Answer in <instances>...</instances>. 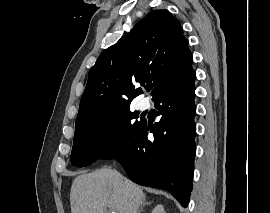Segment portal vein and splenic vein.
Segmentation results:
<instances>
[{
	"mask_svg": "<svg viewBox=\"0 0 270 213\" xmlns=\"http://www.w3.org/2000/svg\"><path fill=\"white\" fill-rule=\"evenodd\" d=\"M111 213H116L115 211H112Z\"/></svg>",
	"mask_w": 270,
	"mask_h": 213,
	"instance_id": "obj_1",
	"label": "portal vein and splenic vein"
}]
</instances>
